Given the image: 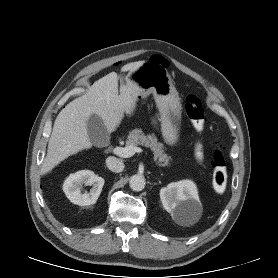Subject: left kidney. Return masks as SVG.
<instances>
[{"label":"left kidney","mask_w":278,"mask_h":278,"mask_svg":"<svg viewBox=\"0 0 278 278\" xmlns=\"http://www.w3.org/2000/svg\"><path fill=\"white\" fill-rule=\"evenodd\" d=\"M163 207L181 225L195 223L201 214L202 205L197 187L191 180L168 184L160 190Z\"/></svg>","instance_id":"1"}]
</instances>
